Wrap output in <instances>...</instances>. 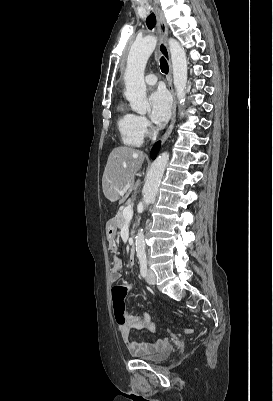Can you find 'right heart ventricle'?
<instances>
[{"label":"right heart ventricle","mask_w":273,"mask_h":401,"mask_svg":"<svg viewBox=\"0 0 273 401\" xmlns=\"http://www.w3.org/2000/svg\"><path fill=\"white\" fill-rule=\"evenodd\" d=\"M116 111L118 114L117 127L124 144L128 146H140L143 136L137 129L135 115L126 109L123 102L118 103Z\"/></svg>","instance_id":"e07e8e85"}]
</instances>
